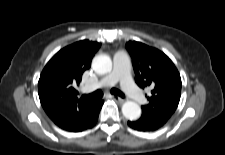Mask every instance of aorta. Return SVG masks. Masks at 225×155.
<instances>
[{
  "mask_svg": "<svg viewBox=\"0 0 225 155\" xmlns=\"http://www.w3.org/2000/svg\"><path fill=\"white\" fill-rule=\"evenodd\" d=\"M92 68L98 74H107L112 70V60L108 55H96L92 60ZM122 113L128 120H136L141 116L140 106L133 101H126L122 105Z\"/></svg>",
  "mask_w": 225,
  "mask_h": 155,
  "instance_id": "762f6f07",
  "label": "aorta"
}]
</instances>
